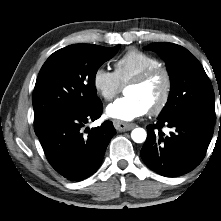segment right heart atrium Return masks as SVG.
<instances>
[{
  "label": "right heart atrium",
  "instance_id": "1",
  "mask_svg": "<svg viewBox=\"0 0 221 221\" xmlns=\"http://www.w3.org/2000/svg\"><path fill=\"white\" fill-rule=\"evenodd\" d=\"M92 82L97 94L105 101L112 100L123 88L115 73L104 67L94 71Z\"/></svg>",
  "mask_w": 221,
  "mask_h": 221
}]
</instances>
